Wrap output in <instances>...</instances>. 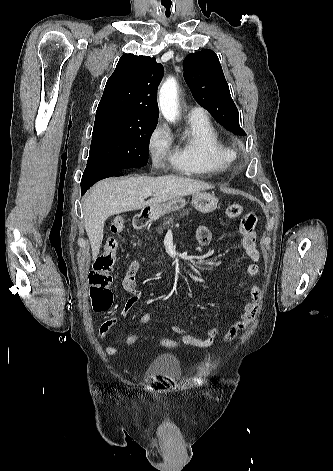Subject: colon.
I'll return each mask as SVG.
<instances>
[{
  "instance_id": "5ec220e1",
  "label": "colon",
  "mask_w": 333,
  "mask_h": 471,
  "mask_svg": "<svg viewBox=\"0 0 333 471\" xmlns=\"http://www.w3.org/2000/svg\"><path fill=\"white\" fill-rule=\"evenodd\" d=\"M243 207L239 203L228 206L225 214L229 218H236L242 214ZM124 227V219L117 216L111 223L112 236L108 237L102 253L94 262L93 269L89 273L90 298L92 306L96 311H107L111 308L113 302V293L111 291L112 271L118 252V240L115 235L119 234ZM140 340L137 334H130L125 338V344L128 347L135 346ZM159 345L165 348L174 349L181 345L178 340L171 338H162Z\"/></svg>"
}]
</instances>
